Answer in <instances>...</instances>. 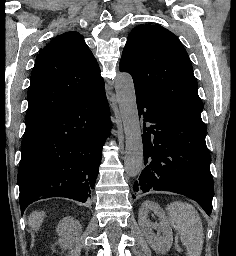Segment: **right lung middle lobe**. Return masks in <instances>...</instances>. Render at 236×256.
Masks as SVG:
<instances>
[{
  "label": "right lung middle lobe",
  "mask_w": 236,
  "mask_h": 256,
  "mask_svg": "<svg viewBox=\"0 0 236 256\" xmlns=\"http://www.w3.org/2000/svg\"><path fill=\"white\" fill-rule=\"evenodd\" d=\"M34 125H36V124H34V123H26V130L32 128Z\"/></svg>",
  "instance_id": "1"
}]
</instances>
